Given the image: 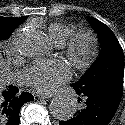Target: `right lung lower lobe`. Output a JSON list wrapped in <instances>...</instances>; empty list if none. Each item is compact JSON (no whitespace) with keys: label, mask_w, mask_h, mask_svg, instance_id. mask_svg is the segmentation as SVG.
<instances>
[{"label":"right lung lower lobe","mask_w":125,"mask_h":125,"mask_svg":"<svg viewBox=\"0 0 125 125\" xmlns=\"http://www.w3.org/2000/svg\"><path fill=\"white\" fill-rule=\"evenodd\" d=\"M34 100L29 92H18V88L9 85L0 96V125H18L21 106Z\"/></svg>","instance_id":"right-lung-lower-lobe-1"}]
</instances>
